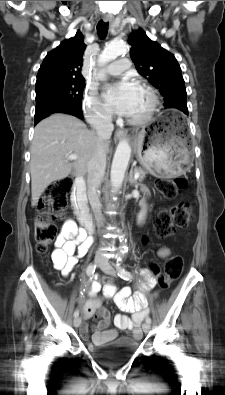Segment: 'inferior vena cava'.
I'll list each match as a JSON object with an SVG mask.
<instances>
[{"label":"inferior vena cava","instance_id":"obj_1","mask_svg":"<svg viewBox=\"0 0 225 395\" xmlns=\"http://www.w3.org/2000/svg\"><path fill=\"white\" fill-rule=\"evenodd\" d=\"M93 126L96 130L97 140L94 153L88 162L87 187L90 205L92 207L97 226L100 227L103 224V215L101 212L98 188L101 185L106 169L104 143L111 137L112 131L114 130L111 115H95Z\"/></svg>","mask_w":225,"mask_h":395}]
</instances>
